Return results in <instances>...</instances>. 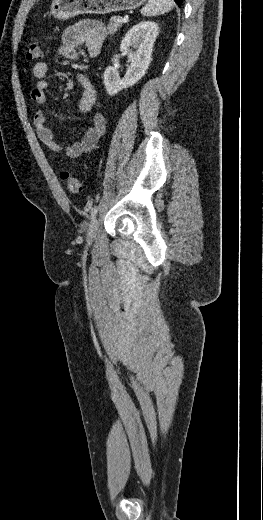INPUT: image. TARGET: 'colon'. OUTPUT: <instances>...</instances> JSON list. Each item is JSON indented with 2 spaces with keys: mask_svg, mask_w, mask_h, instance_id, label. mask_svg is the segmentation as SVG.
<instances>
[{
  "mask_svg": "<svg viewBox=\"0 0 263 520\" xmlns=\"http://www.w3.org/2000/svg\"><path fill=\"white\" fill-rule=\"evenodd\" d=\"M27 59L38 60L42 56L41 43L38 40H31L28 44ZM60 178L65 183L67 190L72 194H78L82 190L81 182L78 178L73 176L70 172L62 170Z\"/></svg>",
  "mask_w": 263,
  "mask_h": 520,
  "instance_id": "1",
  "label": "colon"
}]
</instances>
